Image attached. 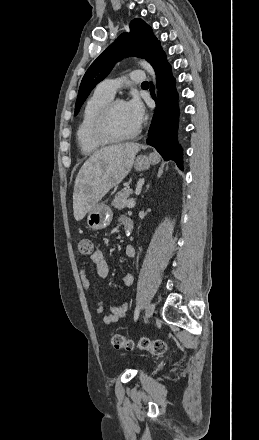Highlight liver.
<instances>
[{
  "instance_id": "1",
  "label": "liver",
  "mask_w": 259,
  "mask_h": 440,
  "mask_svg": "<svg viewBox=\"0 0 259 440\" xmlns=\"http://www.w3.org/2000/svg\"><path fill=\"white\" fill-rule=\"evenodd\" d=\"M141 147L138 143L112 145L89 157L75 180L73 211L76 221H81L111 188L128 175Z\"/></svg>"
}]
</instances>
